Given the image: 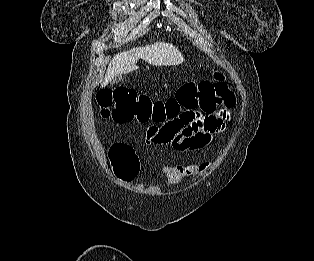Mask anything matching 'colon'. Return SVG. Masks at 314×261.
I'll return each instance as SVG.
<instances>
[{"label":"colon","instance_id":"colon-1","mask_svg":"<svg viewBox=\"0 0 314 261\" xmlns=\"http://www.w3.org/2000/svg\"><path fill=\"white\" fill-rule=\"evenodd\" d=\"M233 97L225 82L224 75L214 72V81H187L179 86L175 94L167 100H154L133 88L118 87L102 89L97 93L100 114L117 123L137 122L149 124L153 128L172 120L183 109H207L227 104ZM109 156L115 174L129 181L139 172V162L134 150L127 144L117 143L110 147Z\"/></svg>","mask_w":314,"mask_h":261}]
</instances>
